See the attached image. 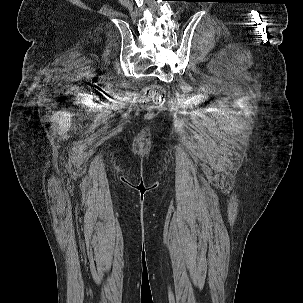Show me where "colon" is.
<instances>
[{
  "instance_id": "obj_1",
  "label": "colon",
  "mask_w": 303,
  "mask_h": 303,
  "mask_svg": "<svg viewBox=\"0 0 303 303\" xmlns=\"http://www.w3.org/2000/svg\"><path fill=\"white\" fill-rule=\"evenodd\" d=\"M142 102L149 107L155 108L165 103V89L160 85H151L142 92Z\"/></svg>"
}]
</instances>
